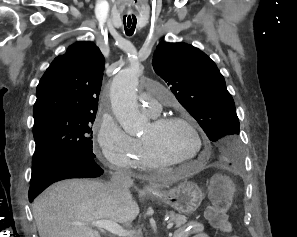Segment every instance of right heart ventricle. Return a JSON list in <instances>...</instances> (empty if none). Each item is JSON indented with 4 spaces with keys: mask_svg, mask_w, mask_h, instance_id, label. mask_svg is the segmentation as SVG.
<instances>
[{
    "mask_svg": "<svg viewBox=\"0 0 297 237\" xmlns=\"http://www.w3.org/2000/svg\"><path fill=\"white\" fill-rule=\"evenodd\" d=\"M137 145V158L135 167L140 169H154L158 166L149 157L147 150L141 140H136Z\"/></svg>",
    "mask_w": 297,
    "mask_h": 237,
    "instance_id": "right-heart-ventricle-1",
    "label": "right heart ventricle"
}]
</instances>
